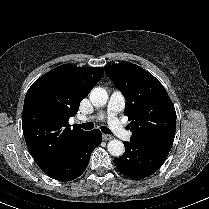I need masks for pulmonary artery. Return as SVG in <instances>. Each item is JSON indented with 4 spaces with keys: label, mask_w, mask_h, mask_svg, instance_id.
I'll list each match as a JSON object with an SVG mask.
<instances>
[{
    "label": "pulmonary artery",
    "mask_w": 209,
    "mask_h": 209,
    "mask_svg": "<svg viewBox=\"0 0 209 209\" xmlns=\"http://www.w3.org/2000/svg\"><path fill=\"white\" fill-rule=\"evenodd\" d=\"M124 106H125L124 96L120 92L115 91L110 96L106 112L98 113L97 115L89 117L88 119L90 120L106 119L110 129L117 137L125 141H130L132 138V132L127 130L118 118V114L124 109Z\"/></svg>",
    "instance_id": "pulmonary-artery-1"
}]
</instances>
